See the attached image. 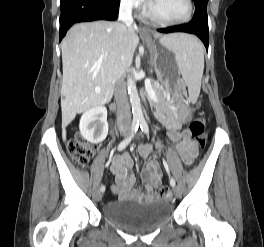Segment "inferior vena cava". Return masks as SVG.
I'll list each match as a JSON object with an SVG mask.
<instances>
[{"mask_svg": "<svg viewBox=\"0 0 264 247\" xmlns=\"http://www.w3.org/2000/svg\"><path fill=\"white\" fill-rule=\"evenodd\" d=\"M132 5V0H123L120 4L119 19L127 27L133 25ZM114 96L117 103L118 126L119 128L128 127L131 125V112L127 99L126 87L121 77H119L115 83Z\"/></svg>", "mask_w": 264, "mask_h": 247, "instance_id": "inferior-vena-cava-1", "label": "inferior vena cava"}]
</instances>
